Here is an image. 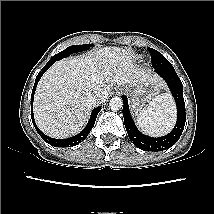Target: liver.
Returning a JSON list of instances; mask_svg holds the SVG:
<instances>
[{"label": "liver", "mask_w": 214, "mask_h": 214, "mask_svg": "<svg viewBox=\"0 0 214 214\" xmlns=\"http://www.w3.org/2000/svg\"><path fill=\"white\" fill-rule=\"evenodd\" d=\"M146 81H160L155 75L134 66L128 49L104 47L53 64L37 85L34 116L38 127L53 138L79 133L95 104L87 94L115 85L135 87Z\"/></svg>", "instance_id": "6515ba94"}]
</instances>
